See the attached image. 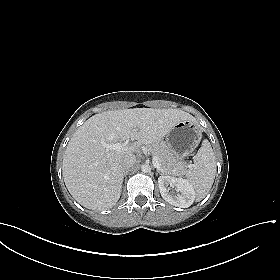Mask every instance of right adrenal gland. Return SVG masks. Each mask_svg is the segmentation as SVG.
I'll use <instances>...</instances> for the list:
<instances>
[{
  "label": "right adrenal gland",
  "mask_w": 280,
  "mask_h": 280,
  "mask_svg": "<svg viewBox=\"0 0 280 280\" xmlns=\"http://www.w3.org/2000/svg\"><path fill=\"white\" fill-rule=\"evenodd\" d=\"M127 174H128V171H127V172H124V174H123V178H124V177H126V176H127Z\"/></svg>",
  "instance_id": "obj_1"
}]
</instances>
